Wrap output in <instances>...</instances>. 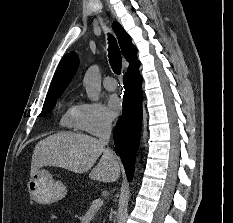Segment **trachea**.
Segmentation results:
<instances>
[{
  "mask_svg": "<svg viewBox=\"0 0 233 223\" xmlns=\"http://www.w3.org/2000/svg\"><path fill=\"white\" fill-rule=\"evenodd\" d=\"M108 57L109 62L111 65L112 70L119 75L122 68V58H121V52L119 50V47L113 38V36H109V48H108Z\"/></svg>",
  "mask_w": 233,
  "mask_h": 223,
  "instance_id": "trachea-1",
  "label": "trachea"
}]
</instances>
